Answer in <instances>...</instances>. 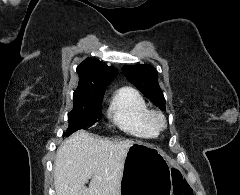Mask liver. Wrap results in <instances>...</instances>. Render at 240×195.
<instances>
[{"label":"liver","instance_id":"1","mask_svg":"<svg viewBox=\"0 0 240 195\" xmlns=\"http://www.w3.org/2000/svg\"><path fill=\"white\" fill-rule=\"evenodd\" d=\"M132 143V139H103L85 129L72 133L56 151L53 173L57 195H118Z\"/></svg>","mask_w":240,"mask_h":195}]
</instances>
